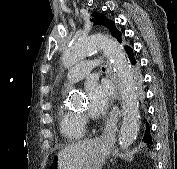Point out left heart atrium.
Segmentation results:
<instances>
[{"mask_svg":"<svg viewBox=\"0 0 177 169\" xmlns=\"http://www.w3.org/2000/svg\"><path fill=\"white\" fill-rule=\"evenodd\" d=\"M85 93L88 98V112L92 117H98L109 105L110 90L104 83L90 80L86 83Z\"/></svg>","mask_w":177,"mask_h":169,"instance_id":"39dd6f15","label":"left heart atrium"}]
</instances>
